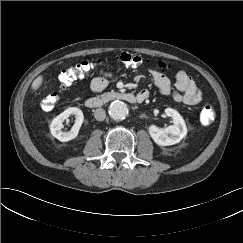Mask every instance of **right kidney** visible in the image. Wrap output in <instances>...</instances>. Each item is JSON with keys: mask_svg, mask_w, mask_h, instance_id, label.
I'll return each mask as SVG.
<instances>
[{"mask_svg": "<svg viewBox=\"0 0 243 243\" xmlns=\"http://www.w3.org/2000/svg\"><path fill=\"white\" fill-rule=\"evenodd\" d=\"M75 115V124L69 132H63V122L70 116ZM84 116L81 109L70 107L56 116L50 124L51 134L61 142H67L77 137L79 129L83 123Z\"/></svg>", "mask_w": 243, "mask_h": 243, "instance_id": "right-kidney-1", "label": "right kidney"}]
</instances>
